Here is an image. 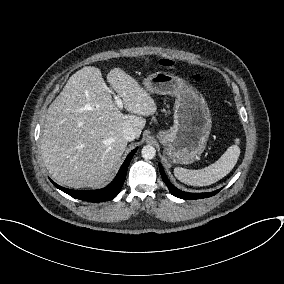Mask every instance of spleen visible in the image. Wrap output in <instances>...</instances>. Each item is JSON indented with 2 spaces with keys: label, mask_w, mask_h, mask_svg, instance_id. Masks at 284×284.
Wrapping results in <instances>:
<instances>
[{
  "label": "spleen",
  "mask_w": 284,
  "mask_h": 284,
  "mask_svg": "<svg viewBox=\"0 0 284 284\" xmlns=\"http://www.w3.org/2000/svg\"><path fill=\"white\" fill-rule=\"evenodd\" d=\"M239 139L230 146L225 153L213 164L198 170H189L181 167L174 169L175 177L181 182L193 186L211 185L225 177L236 165L240 155Z\"/></svg>",
  "instance_id": "1"
}]
</instances>
